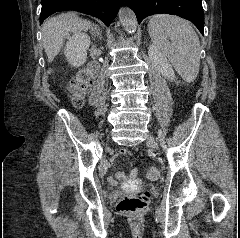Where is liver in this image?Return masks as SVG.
<instances>
[{"label": "liver", "instance_id": "1", "mask_svg": "<svg viewBox=\"0 0 240 238\" xmlns=\"http://www.w3.org/2000/svg\"><path fill=\"white\" fill-rule=\"evenodd\" d=\"M90 27L89 21L82 20L75 13H65L47 20L42 28V42L48 61H53L63 46V40L68 38L70 33L88 30ZM51 72L49 70V73Z\"/></svg>", "mask_w": 240, "mask_h": 238}]
</instances>
